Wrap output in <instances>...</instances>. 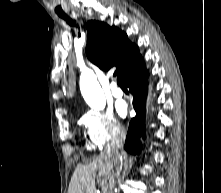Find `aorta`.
<instances>
[{
	"label": "aorta",
	"instance_id": "aorta-1",
	"mask_svg": "<svg viewBox=\"0 0 221 193\" xmlns=\"http://www.w3.org/2000/svg\"><path fill=\"white\" fill-rule=\"evenodd\" d=\"M80 90L86 103L94 110H103L106 105L104 93L93 71L85 69L80 76Z\"/></svg>",
	"mask_w": 221,
	"mask_h": 193
}]
</instances>
